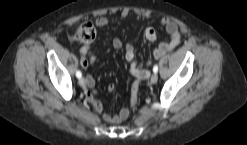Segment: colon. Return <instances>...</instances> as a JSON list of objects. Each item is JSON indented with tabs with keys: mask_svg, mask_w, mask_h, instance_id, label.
<instances>
[{
	"mask_svg": "<svg viewBox=\"0 0 247 145\" xmlns=\"http://www.w3.org/2000/svg\"><path fill=\"white\" fill-rule=\"evenodd\" d=\"M96 35V29L92 22L86 21L83 22L74 35V39L82 42V43H90L94 40ZM138 97H139V85L138 82L135 81L132 89H131V105L132 107H136L138 104Z\"/></svg>",
	"mask_w": 247,
	"mask_h": 145,
	"instance_id": "1",
	"label": "colon"
}]
</instances>
